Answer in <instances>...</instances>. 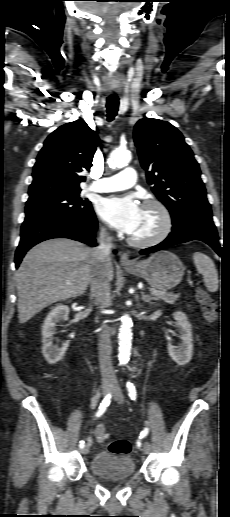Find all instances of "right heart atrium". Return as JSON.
I'll use <instances>...</instances> for the list:
<instances>
[{"label":"right heart atrium","instance_id":"right-heart-atrium-1","mask_svg":"<svg viewBox=\"0 0 230 517\" xmlns=\"http://www.w3.org/2000/svg\"><path fill=\"white\" fill-rule=\"evenodd\" d=\"M103 232H104V233H107V232H108V230H107L106 228H104V229H103Z\"/></svg>","mask_w":230,"mask_h":517}]
</instances>
